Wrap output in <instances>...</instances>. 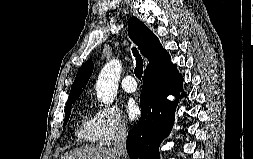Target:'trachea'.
<instances>
[{
  "mask_svg": "<svg viewBox=\"0 0 253 159\" xmlns=\"http://www.w3.org/2000/svg\"><path fill=\"white\" fill-rule=\"evenodd\" d=\"M133 55L136 59V67L134 70L135 76L141 80L142 74H143V60L142 57L140 56L138 50L134 47L132 48Z\"/></svg>",
  "mask_w": 253,
  "mask_h": 159,
  "instance_id": "1",
  "label": "trachea"
}]
</instances>
